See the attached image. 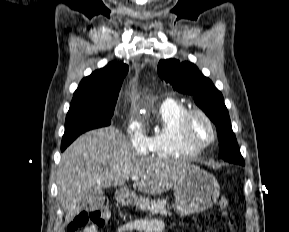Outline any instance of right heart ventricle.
Listing matches in <instances>:
<instances>
[{
    "label": "right heart ventricle",
    "instance_id": "1",
    "mask_svg": "<svg viewBox=\"0 0 289 232\" xmlns=\"http://www.w3.org/2000/svg\"><path fill=\"white\" fill-rule=\"evenodd\" d=\"M187 110L184 104L172 99L160 104L157 111L160 125L149 137L152 154L163 158H179L198 153L186 146L179 136V122Z\"/></svg>",
    "mask_w": 289,
    "mask_h": 232
}]
</instances>
